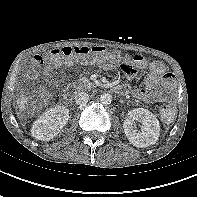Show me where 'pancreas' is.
I'll use <instances>...</instances> for the list:
<instances>
[{
  "label": "pancreas",
  "mask_w": 197,
  "mask_h": 197,
  "mask_svg": "<svg viewBox=\"0 0 197 197\" xmlns=\"http://www.w3.org/2000/svg\"><path fill=\"white\" fill-rule=\"evenodd\" d=\"M94 86L92 82H90L86 77H81L79 80L78 88L82 89H91Z\"/></svg>",
  "instance_id": "cf45deb5"
}]
</instances>
